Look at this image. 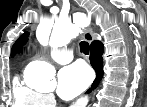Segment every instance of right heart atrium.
I'll list each match as a JSON object with an SVG mask.
<instances>
[{
    "label": "right heart atrium",
    "mask_w": 147,
    "mask_h": 107,
    "mask_svg": "<svg viewBox=\"0 0 147 107\" xmlns=\"http://www.w3.org/2000/svg\"><path fill=\"white\" fill-rule=\"evenodd\" d=\"M43 100L46 105L52 104L54 102V98L51 94H44Z\"/></svg>",
    "instance_id": "d8ad5b80"
}]
</instances>
